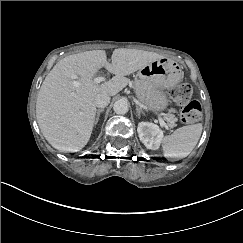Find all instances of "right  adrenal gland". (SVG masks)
<instances>
[{
	"label": "right adrenal gland",
	"instance_id": "2a0ac1e0",
	"mask_svg": "<svg viewBox=\"0 0 243 243\" xmlns=\"http://www.w3.org/2000/svg\"><path fill=\"white\" fill-rule=\"evenodd\" d=\"M104 111V108H101L97 111V117L95 120V123H98L99 119H100V114Z\"/></svg>",
	"mask_w": 243,
	"mask_h": 243
}]
</instances>
